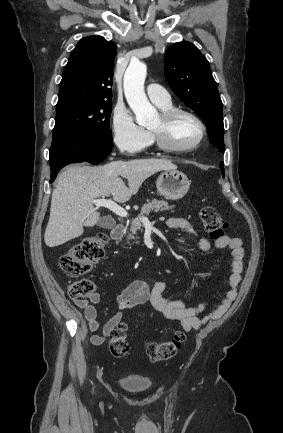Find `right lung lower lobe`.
<instances>
[{
  "label": "right lung lower lobe",
  "instance_id": "98d812e1",
  "mask_svg": "<svg viewBox=\"0 0 283 433\" xmlns=\"http://www.w3.org/2000/svg\"><path fill=\"white\" fill-rule=\"evenodd\" d=\"M111 141L101 142L97 139L80 135H60L53 137L49 163L53 182L58 171L65 165L78 162L99 164L111 152Z\"/></svg>",
  "mask_w": 283,
  "mask_h": 433
}]
</instances>
